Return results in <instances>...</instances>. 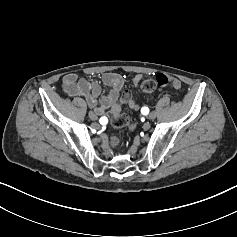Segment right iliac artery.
Wrapping results in <instances>:
<instances>
[{"instance_id":"obj_1","label":"right iliac artery","mask_w":237,"mask_h":237,"mask_svg":"<svg viewBox=\"0 0 237 237\" xmlns=\"http://www.w3.org/2000/svg\"><path fill=\"white\" fill-rule=\"evenodd\" d=\"M108 122V119L106 117H101L100 118V123H107Z\"/></svg>"}]
</instances>
